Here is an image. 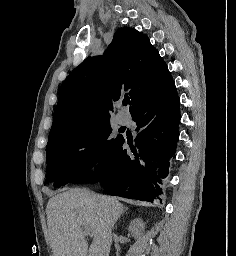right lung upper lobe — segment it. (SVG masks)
<instances>
[{
	"mask_svg": "<svg viewBox=\"0 0 236 256\" xmlns=\"http://www.w3.org/2000/svg\"><path fill=\"white\" fill-rule=\"evenodd\" d=\"M172 81L148 37L133 28H119L103 56L85 59L63 83L49 139L110 120L113 105L123 96L131 100V113Z\"/></svg>",
	"mask_w": 236,
	"mask_h": 256,
	"instance_id": "right-lung-upper-lobe-1",
	"label": "right lung upper lobe"
}]
</instances>
